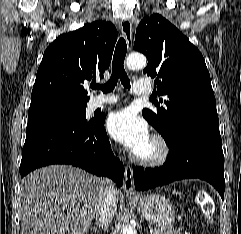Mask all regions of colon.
I'll list each match as a JSON object with an SVG mask.
<instances>
[{
  "mask_svg": "<svg viewBox=\"0 0 241 234\" xmlns=\"http://www.w3.org/2000/svg\"><path fill=\"white\" fill-rule=\"evenodd\" d=\"M200 200L203 203V208L205 211L209 212L212 209V204L209 200L206 201V196L203 194L200 196Z\"/></svg>",
  "mask_w": 241,
  "mask_h": 234,
  "instance_id": "obj_1",
  "label": "colon"
}]
</instances>
